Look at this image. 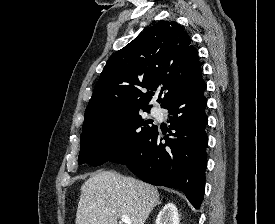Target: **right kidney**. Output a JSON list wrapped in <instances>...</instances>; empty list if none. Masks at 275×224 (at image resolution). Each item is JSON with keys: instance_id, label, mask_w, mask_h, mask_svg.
<instances>
[{"instance_id": "ca27d5eb", "label": "right kidney", "mask_w": 275, "mask_h": 224, "mask_svg": "<svg viewBox=\"0 0 275 224\" xmlns=\"http://www.w3.org/2000/svg\"><path fill=\"white\" fill-rule=\"evenodd\" d=\"M179 213L173 203L166 204L156 218V224H179Z\"/></svg>"}]
</instances>
